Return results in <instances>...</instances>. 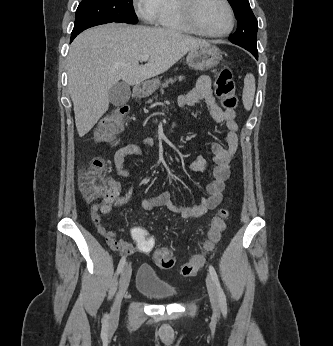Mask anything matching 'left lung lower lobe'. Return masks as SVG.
Listing matches in <instances>:
<instances>
[{"label": "left lung lower lobe", "mask_w": 333, "mask_h": 346, "mask_svg": "<svg viewBox=\"0 0 333 346\" xmlns=\"http://www.w3.org/2000/svg\"><path fill=\"white\" fill-rule=\"evenodd\" d=\"M251 53L255 56L256 59H258V51L257 52L252 51Z\"/></svg>", "instance_id": "obj_1"}]
</instances>
